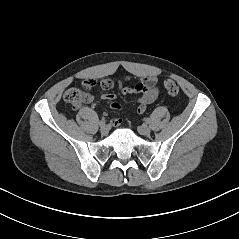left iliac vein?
<instances>
[{"label":"left iliac vein","mask_w":239,"mask_h":239,"mask_svg":"<svg viewBox=\"0 0 239 239\" xmlns=\"http://www.w3.org/2000/svg\"><path fill=\"white\" fill-rule=\"evenodd\" d=\"M138 132L141 134V135H149L151 133V129L146 126V125H142V126H139L138 127Z\"/></svg>","instance_id":"left-iliac-vein-1"}]
</instances>
